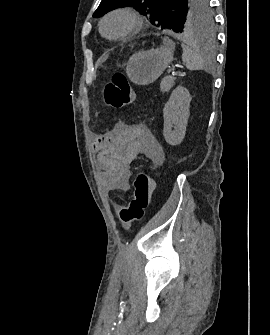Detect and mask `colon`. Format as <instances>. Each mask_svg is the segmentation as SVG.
<instances>
[{"mask_svg": "<svg viewBox=\"0 0 270 335\" xmlns=\"http://www.w3.org/2000/svg\"><path fill=\"white\" fill-rule=\"evenodd\" d=\"M105 99L116 108L129 105L134 98L132 88L124 73L112 76L104 91ZM154 187L153 178L146 172H139L135 178L133 196L127 204L118 206L119 217L124 225L132 226L145 218L151 204Z\"/></svg>", "mask_w": 270, "mask_h": 335, "instance_id": "5ec220e1", "label": "colon"}]
</instances>
